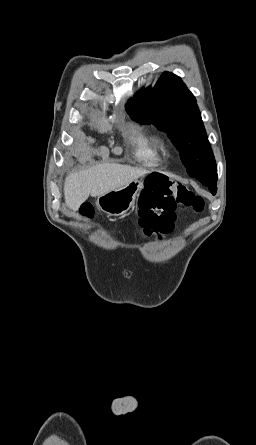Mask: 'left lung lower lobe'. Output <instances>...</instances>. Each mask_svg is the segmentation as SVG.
Here are the masks:
<instances>
[{
  "instance_id": "left-lung-lower-lobe-1",
  "label": "left lung lower lobe",
  "mask_w": 256,
  "mask_h": 445,
  "mask_svg": "<svg viewBox=\"0 0 256 445\" xmlns=\"http://www.w3.org/2000/svg\"><path fill=\"white\" fill-rule=\"evenodd\" d=\"M195 178L198 179L203 185L207 186L213 195L216 194V191H217V187H216L217 179L199 178V177H195Z\"/></svg>"
}]
</instances>
